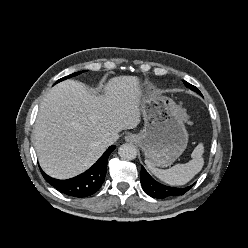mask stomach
<instances>
[{
	"instance_id": "stomach-1",
	"label": "stomach",
	"mask_w": 248,
	"mask_h": 248,
	"mask_svg": "<svg viewBox=\"0 0 248 248\" xmlns=\"http://www.w3.org/2000/svg\"><path fill=\"white\" fill-rule=\"evenodd\" d=\"M140 97L145 124L136 142L154 167H168L187 147L183 110L173 99L149 90L141 92Z\"/></svg>"
}]
</instances>
